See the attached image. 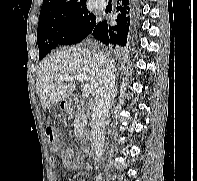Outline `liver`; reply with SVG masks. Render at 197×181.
Returning <instances> with one entry per match:
<instances>
[{"mask_svg": "<svg viewBox=\"0 0 197 181\" xmlns=\"http://www.w3.org/2000/svg\"><path fill=\"white\" fill-rule=\"evenodd\" d=\"M107 64L114 72V61L104 51L97 52L81 47H69L46 57L38 68L36 93L40 97L42 107L50 108L53 104L65 100L72 95L75 84L59 81L62 75L87 74L91 93L95 94L101 75V69Z\"/></svg>", "mask_w": 197, "mask_h": 181, "instance_id": "1", "label": "liver"}]
</instances>
